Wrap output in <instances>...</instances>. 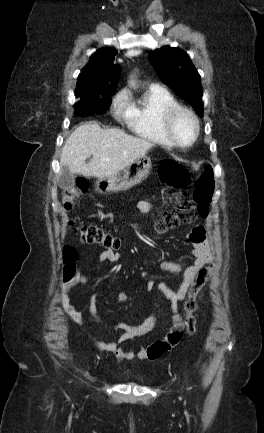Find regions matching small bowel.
<instances>
[{
	"label": "small bowel",
	"instance_id": "obj_1",
	"mask_svg": "<svg viewBox=\"0 0 264 433\" xmlns=\"http://www.w3.org/2000/svg\"><path fill=\"white\" fill-rule=\"evenodd\" d=\"M152 204L148 201H141L139 209L143 213L151 210ZM188 240L192 244V263L180 264L172 261L161 262V268L173 273H180L182 276L179 287L174 290L164 282L155 284L154 281L148 280L146 287L149 292H153L157 287L171 302L172 309V328L166 336L155 343L142 348L138 352L125 350L120 345L128 340L136 337L144 336L150 333L157 325L158 317L156 314H151L143 322L139 324H130L121 322L112 326V329L120 332L121 335L116 342L103 343L95 342L96 347L105 352L113 353L118 361L127 360H155L160 358L165 353L177 346L183 338L185 322L182 316L178 313V303L185 298L191 287L195 276L211 259V250L206 239V232L203 226H195L188 234ZM120 259V255L113 250L105 249L99 255V262H116ZM89 281L88 276L78 272L74 277L69 279L61 294V304L64 311L71 320L79 326H84L89 322V319L83 315L72 303L68 292L77 285L85 284ZM127 300L124 293L118 295V301L123 303ZM91 308L93 311L92 322L101 323L100 319L95 315L94 297L91 298Z\"/></svg>",
	"mask_w": 264,
	"mask_h": 433
}]
</instances>
